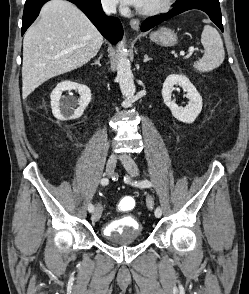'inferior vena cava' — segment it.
Instances as JSON below:
<instances>
[{
  "mask_svg": "<svg viewBox=\"0 0 249 294\" xmlns=\"http://www.w3.org/2000/svg\"><path fill=\"white\" fill-rule=\"evenodd\" d=\"M116 4V0H102L103 10L108 15L116 13Z\"/></svg>",
  "mask_w": 249,
  "mask_h": 294,
  "instance_id": "obj_1",
  "label": "inferior vena cava"
}]
</instances>
